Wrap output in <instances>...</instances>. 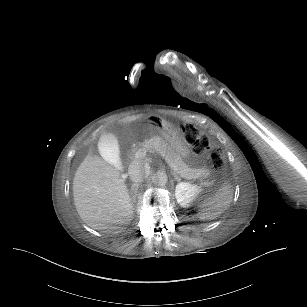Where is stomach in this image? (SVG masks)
I'll list each match as a JSON object with an SVG mask.
<instances>
[{
    "mask_svg": "<svg viewBox=\"0 0 307 307\" xmlns=\"http://www.w3.org/2000/svg\"><path fill=\"white\" fill-rule=\"evenodd\" d=\"M153 118L155 117H151L150 119L152 120ZM158 131L165 138V140L169 142L176 154L183 158L188 156L189 149L186 141L172 124L161 119L160 126H158Z\"/></svg>",
    "mask_w": 307,
    "mask_h": 307,
    "instance_id": "stomach-1",
    "label": "stomach"
}]
</instances>
